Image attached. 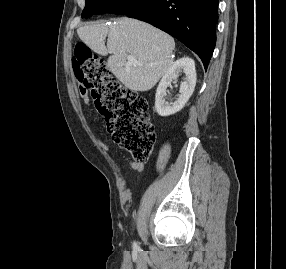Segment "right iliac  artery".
Returning a JSON list of instances; mask_svg holds the SVG:
<instances>
[{
	"label": "right iliac artery",
	"mask_w": 286,
	"mask_h": 269,
	"mask_svg": "<svg viewBox=\"0 0 286 269\" xmlns=\"http://www.w3.org/2000/svg\"><path fill=\"white\" fill-rule=\"evenodd\" d=\"M133 248L135 249V250H138L139 249V247H138V245L134 242V244H133Z\"/></svg>",
	"instance_id": "82829eb1"
}]
</instances>
